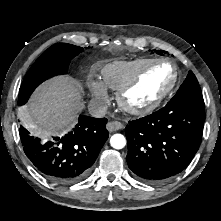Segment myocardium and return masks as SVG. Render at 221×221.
<instances>
[{
  "label": "myocardium",
  "instance_id": "myocardium-1",
  "mask_svg": "<svg viewBox=\"0 0 221 221\" xmlns=\"http://www.w3.org/2000/svg\"><path fill=\"white\" fill-rule=\"evenodd\" d=\"M159 64L167 65L172 69V78L168 86L152 101L144 105H134L128 100V93L138 84L141 78L153 67ZM179 79L178 67L169 59H152L143 66L133 77L117 90V102L126 113L143 116L156 110L173 92Z\"/></svg>",
  "mask_w": 221,
  "mask_h": 221
}]
</instances>
